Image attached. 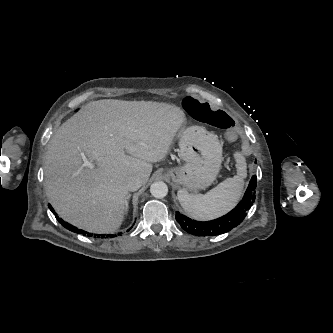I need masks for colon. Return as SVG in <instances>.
<instances>
[{"label":"colon","instance_id":"5ec220e1","mask_svg":"<svg viewBox=\"0 0 333 333\" xmlns=\"http://www.w3.org/2000/svg\"><path fill=\"white\" fill-rule=\"evenodd\" d=\"M186 111L194 119L225 131L234 126L233 119L224 111L214 109L209 103L188 96L183 101Z\"/></svg>","mask_w":333,"mask_h":333}]
</instances>
